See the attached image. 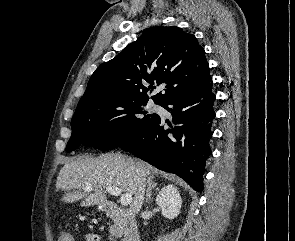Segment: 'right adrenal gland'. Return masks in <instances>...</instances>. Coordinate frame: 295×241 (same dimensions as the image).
I'll return each instance as SVG.
<instances>
[{
	"label": "right adrenal gland",
	"instance_id": "1",
	"mask_svg": "<svg viewBox=\"0 0 295 241\" xmlns=\"http://www.w3.org/2000/svg\"><path fill=\"white\" fill-rule=\"evenodd\" d=\"M154 175H150L147 180V191H146V203H149L151 200L152 190L156 188L157 183L155 182Z\"/></svg>",
	"mask_w": 295,
	"mask_h": 241
}]
</instances>
